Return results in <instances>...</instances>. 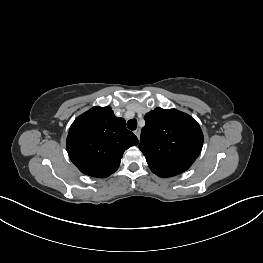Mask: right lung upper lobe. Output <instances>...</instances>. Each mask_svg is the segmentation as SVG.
<instances>
[{
	"mask_svg": "<svg viewBox=\"0 0 263 263\" xmlns=\"http://www.w3.org/2000/svg\"><path fill=\"white\" fill-rule=\"evenodd\" d=\"M138 144L137 137L108 106H95L71 125L67 151L78 169L89 176L105 178L114 173L123 152Z\"/></svg>",
	"mask_w": 263,
	"mask_h": 263,
	"instance_id": "right-lung-upper-lobe-1",
	"label": "right lung upper lobe"
}]
</instances>
